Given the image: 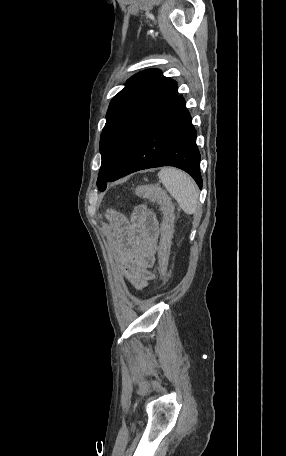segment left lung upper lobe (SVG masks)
Here are the masks:
<instances>
[{
	"label": "left lung upper lobe",
	"instance_id": "5c2ea615",
	"mask_svg": "<svg viewBox=\"0 0 286 456\" xmlns=\"http://www.w3.org/2000/svg\"><path fill=\"white\" fill-rule=\"evenodd\" d=\"M178 95L177 83L157 69L131 77L111 100L100 137L97 186L104 191L139 133Z\"/></svg>",
	"mask_w": 286,
	"mask_h": 456
}]
</instances>
